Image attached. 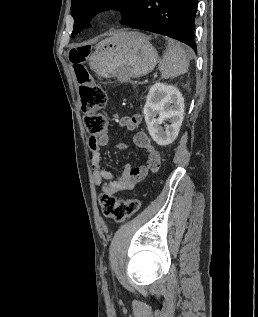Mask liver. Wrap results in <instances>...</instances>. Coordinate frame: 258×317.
Here are the masks:
<instances>
[{
	"label": "liver",
	"mask_w": 258,
	"mask_h": 317,
	"mask_svg": "<svg viewBox=\"0 0 258 317\" xmlns=\"http://www.w3.org/2000/svg\"><path fill=\"white\" fill-rule=\"evenodd\" d=\"M116 34H118V32H114L113 36H116Z\"/></svg>",
	"instance_id": "obj_1"
}]
</instances>
